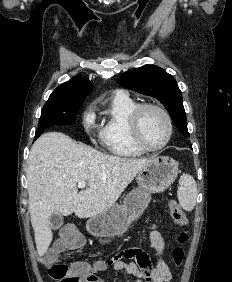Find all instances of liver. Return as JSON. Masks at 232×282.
Returning <instances> with one entry per match:
<instances>
[{
	"label": "liver",
	"mask_w": 232,
	"mask_h": 282,
	"mask_svg": "<svg viewBox=\"0 0 232 282\" xmlns=\"http://www.w3.org/2000/svg\"><path fill=\"white\" fill-rule=\"evenodd\" d=\"M150 160L106 155L61 132L41 135L30 150L26 171L38 255L42 257L52 241L53 213L90 218L105 211ZM80 181L88 188L78 193Z\"/></svg>",
	"instance_id": "6515ba94"
}]
</instances>
